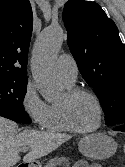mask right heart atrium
I'll return each instance as SVG.
<instances>
[{
  "label": "right heart atrium",
  "instance_id": "obj_1",
  "mask_svg": "<svg viewBox=\"0 0 125 167\" xmlns=\"http://www.w3.org/2000/svg\"><path fill=\"white\" fill-rule=\"evenodd\" d=\"M21 106L37 128H44L50 115V105L40 96L35 84L29 81L24 89Z\"/></svg>",
  "mask_w": 125,
  "mask_h": 167
}]
</instances>
